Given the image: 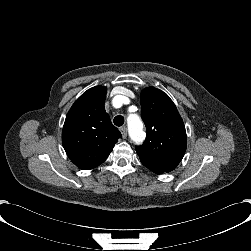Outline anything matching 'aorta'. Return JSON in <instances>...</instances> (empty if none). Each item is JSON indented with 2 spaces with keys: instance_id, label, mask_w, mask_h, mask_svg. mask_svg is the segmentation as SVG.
<instances>
[{
  "instance_id": "762f6f07",
  "label": "aorta",
  "mask_w": 251,
  "mask_h": 251,
  "mask_svg": "<svg viewBox=\"0 0 251 251\" xmlns=\"http://www.w3.org/2000/svg\"><path fill=\"white\" fill-rule=\"evenodd\" d=\"M127 128L129 137L136 144H140L145 138L143 122L137 114H130L127 117Z\"/></svg>"
}]
</instances>
